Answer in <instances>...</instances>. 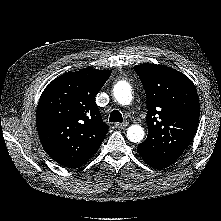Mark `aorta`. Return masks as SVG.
Wrapping results in <instances>:
<instances>
[{
    "label": "aorta",
    "instance_id": "1",
    "mask_svg": "<svg viewBox=\"0 0 221 221\" xmlns=\"http://www.w3.org/2000/svg\"><path fill=\"white\" fill-rule=\"evenodd\" d=\"M114 97L119 104L129 105L132 101L130 85L126 82L118 83L114 90ZM144 134V129L139 125H131L127 130V138L134 143L143 140Z\"/></svg>",
    "mask_w": 221,
    "mask_h": 221
}]
</instances>
